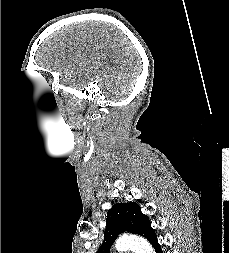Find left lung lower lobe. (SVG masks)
<instances>
[{
    "instance_id": "1",
    "label": "left lung lower lobe",
    "mask_w": 229,
    "mask_h": 253,
    "mask_svg": "<svg viewBox=\"0 0 229 253\" xmlns=\"http://www.w3.org/2000/svg\"><path fill=\"white\" fill-rule=\"evenodd\" d=\"M152 245H153L156 253H163L162 250H161L160 244L158 243V241H155Z\"/></svg>"
}]
</instances>
